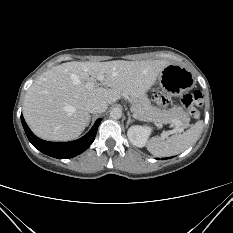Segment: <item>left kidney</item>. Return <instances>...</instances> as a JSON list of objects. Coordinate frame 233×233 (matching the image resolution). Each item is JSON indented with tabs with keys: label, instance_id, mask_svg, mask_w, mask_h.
I'll return each instance as SVG.
<instances>
[{
	"label": "left kidney",
	"instance_id": "1",
	"mask_svg": "<svg viewBox=\"0 0 233 233\" xmlns=\"http://www.w3.org/2000/svg\"><path fill=\"white\" fill-rule=\"evenodd\" d=\"M151 128L143 126H131L127 131L130 142L137 147H144L150 135Z\"/></svg>",
	"mask_w": 233,
	"mask_h": 233
}]
</instances>
